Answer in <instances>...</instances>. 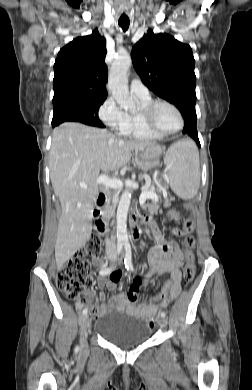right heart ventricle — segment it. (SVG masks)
Wrapping results in <instances>:
<instances>
[{
    "mask_svg": "<svg viewBox=\"0 0 252 390\" xmlns=\"http://www.w3.org/2000/svg\"><path fill=\"white\" fill-rule=\"evenodd\" d=\"M137 100L141 110L138 113L128 115L129 129L125 137L136 141H154L163 138V136L155 135L148 131L141 119L142 109L153 101L151 96L148 98H137Z\"/></svg>",
    "mask_w": 252,
    "mask_h": 390,
    "instance_id": "right-heart-ventricle-1",
    "label": "right heart ventricle"
}]
</instances>
